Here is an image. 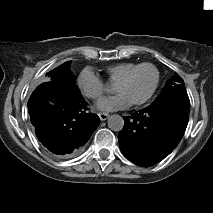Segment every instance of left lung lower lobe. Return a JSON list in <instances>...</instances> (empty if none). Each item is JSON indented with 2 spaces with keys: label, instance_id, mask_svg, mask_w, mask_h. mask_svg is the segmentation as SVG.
<instances>
[{
  "label": "left lung lower lobe",
  "instance_id": "1",
  "mask_svg": "<svg viewBox=\"0 0 213 213\" xmlns=\"http://www.w3.org/2000/svg\"><path fill=\"white\" fill-rule=\"evenodd\" d=\"M189 108L180 100L167 99L125 117L118 135L124 156L144 167L160 162L183 137Z\"/></svg>",
  "mask_w": 213,
  "mask_h": 213
}]
</instances>
